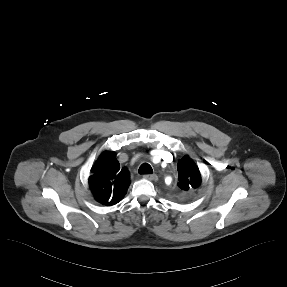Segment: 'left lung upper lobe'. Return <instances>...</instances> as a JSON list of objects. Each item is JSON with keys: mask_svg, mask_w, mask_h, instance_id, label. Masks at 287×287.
<instances>
[{"mask_svg": "<svg viewBox=\"0 0 287 287\" xmlns=\"http://www.w3.org/2000/svg\"><path fill=\"white\" fill-rule=\"evenodd\" d=\"M178 180L179 188L184 191L197 188L201 183L200 171L188 156L178 162Z\"/></svg>", "mask_w": 287, "mask_h": 287, "instance_id": "left-lung-upper-lobe-1", "label": "left lung upper lobe"}]
</instances>
